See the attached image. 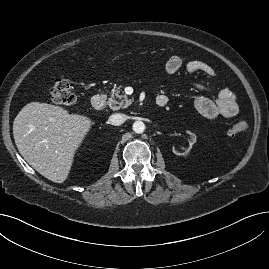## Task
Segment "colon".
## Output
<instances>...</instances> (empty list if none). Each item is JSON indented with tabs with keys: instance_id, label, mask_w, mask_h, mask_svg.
I'll return each mask as SVG.
<instances>
[{
	"instance_id": "obj_1",
	"label": "colon",
	"mask_w": 269,
	"mask_h": 269,
	"mask_svg": "<svg viewBox=\"0 0 269 269\" xmlns=\"http://www.w3.org/2000/svg\"><path fill=\"white\" fill-rule=\"evenodd\" d=\"M53 102L60 106H72L76 102V94L72 85L66 79L55 80L50 88ZM249 130V124L244 120L234 122L227 130L228 135L245 133Z\"/></svg>"
}]
</instances>
